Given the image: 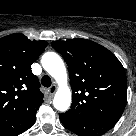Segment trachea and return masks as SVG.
Wrapping results in <instances>:
<instances>
[{
  "instance_id": "obj_1",
  "label": "trachea",
  "mask_w": 136,
  "mask_h": 136,
  "mask_svg": "<svg viewBox=\"0 0 136 136\" xmlns=\"http://www.w3.org/2000/svg\"><path fill=\"white\" fill-rule=\"evenodd\" d=\"M41 83L44 87H50L51 86V78L49 76L45 75L42 77Z\"/></svg>"
}]
</instances>
